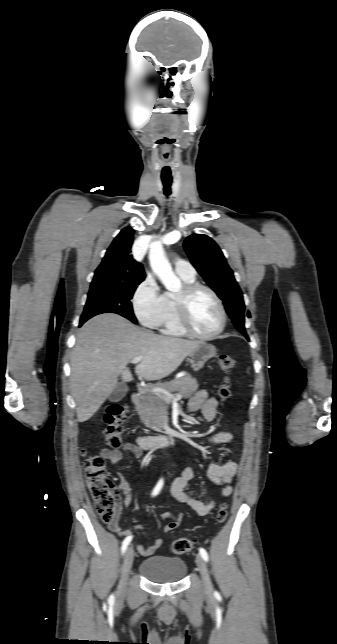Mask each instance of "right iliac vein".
Returning a JSON list of instances; mask_svg holds the SVG:
<instances>
[{
    "label": "right iliac vein",
    "instance_id": "63e3f726",
    "mask_svg": "<svg viewBox=\"0 0 337 644\" xmlns=\"http://www.w3.org/2000/svg\"><path fill=\"white\" fill-rule=\"evenodd\" d=\"M133 560H134V550L130 546L126 550V554H125L124 561H123L122 578H121V582H120V585H119V591H118V596L119 597H123L125 595L126 580H127L128 574H129V572L131 570Z\"/></svg>",
    "mask_w": 337,
    "mask_h": 644
}]
</instances>
